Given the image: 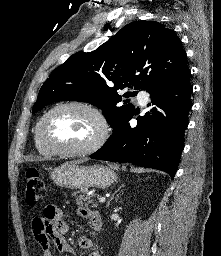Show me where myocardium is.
<instances>
[{
	"label": "myocardium",
	"instance_id": "1",
	"mask_svg": "<svg viewBox=\"0 0 221 256\" xmlns=\"http://www.w3.org/2000/svg\"><path fill=\"white\" fill-rule=\"evenodd\" d=\"M69 107H77L90 112L98 121L100 131L96 139L87 146L80 148H65L48 142L44 136V125L47 119L57 110ZM110 133V126L104 113L95 105L83 101H68L55 105L48 110L39 120L36 126V135L39 143L50 152L63 156L89 155L99 150L107 141Z\"/></svg>",
	"mask_w": 221,
	"mask_h": 256
}]
</instances>
